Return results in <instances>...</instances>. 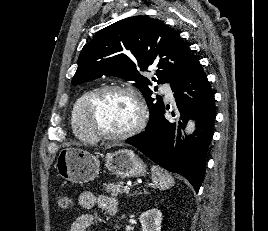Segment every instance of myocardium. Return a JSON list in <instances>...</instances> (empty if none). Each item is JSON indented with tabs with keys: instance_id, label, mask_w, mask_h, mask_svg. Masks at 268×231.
<instances>
[{
	"instance_id": "1",
	"label": "myocardium",
	"mask_w": 268,
	"mask_h": 231,
	"mask_svg": "<svg viewBox=\"0 0 268 231\" xmlns=\"http://www.w3.org/2000/svg\"><path fill=\"white\" fill-rule=\"evenodd\" d=\"M109 93H121L129 96L136 104L138 109V120L136 123L129 129L123 131V132H109V131H103L98 130L93 123V116L95 107L98 103V101L106 94ZM85 122L89 129V131L92 133L93 137L95 139H107V140H124L127 138H130L139 132H141L147 121V110L146 106L144 104V101L140 97L138 93H136L134 90H132L129 87L120 86V85H105L98 89H96L88 98L86 105H85V112H84Z\"/></svg>"
}]
</instances>
